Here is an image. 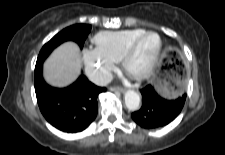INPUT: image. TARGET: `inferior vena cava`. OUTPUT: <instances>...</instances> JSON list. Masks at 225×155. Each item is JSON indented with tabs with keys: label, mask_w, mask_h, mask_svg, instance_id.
Instances as JSON below:
<instances>
[{
	"label": "inferior vena cava",
	"mask_w": 225,
	"mask_h": 155,
	"mask_svg": "<svg viewBox=\"0 0 225 155\" xmlns=\"http://www.w3.org/2000/svg\"><path fill=\"white\" fill-rule=\"evenodd\" d=\"M113 79L111 72L109 71H97L92 77L91 81L98 86H105Z\"/></svg>",
	"instance_id": "602c4592"
}]
</instances>
